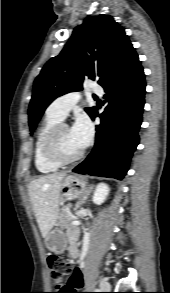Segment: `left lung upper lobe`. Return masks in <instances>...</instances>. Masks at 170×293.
<instances>
[{"label":"left lung upper lobe","mask_w":170,"mask_h":293,"mask_svg":"<svg viewBox=\"0 0 170 293\" xmlns=\"http://www.w3.org/2000/svg\"><path fill=\"white\" fill-rule=\"evenodd\" d=\"M132 44L124 28L110 15L87 17L77 26L61 53L50 59L34 81L29 105L30 130H35L46 107L57 97L82 90L85 78L103 85ZM92 116L95 107L86 108Z\"/></svg>","instance_id":"obj_1"}]
</instances>
